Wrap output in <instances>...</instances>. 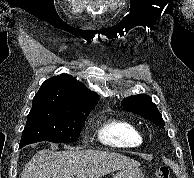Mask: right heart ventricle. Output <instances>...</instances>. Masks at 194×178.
<instances>
[{"instance_id": "e07e8e85", "label": "right heart ventricle", "mask_w": 194, "mask_h": 178, "mask_svg": "<svg viewBox=\"0 0 194 178\" xmlns=\"http://www.w3.org/2000/svg\"><path fill=\"white\" fill-rule=\"evenodd\" d=\"M97 134L100 142L117 148H134L143 143V137L138 128L124 119H106L99 126Z\"/></svg>"}]
</instances>
